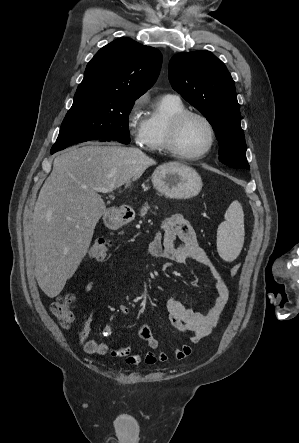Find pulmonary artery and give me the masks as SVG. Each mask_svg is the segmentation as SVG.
Here are the masks:
<instances>
[{"label":"pulmonary artery","instance_id":"e3ab8cb5","mask_svg":"<svg viewBox=\"0 0 299 443\" xmlns=\"http://www.w3.org/2000/svg\"><path fill=\"white\" fill-rule=\"evenodd\" d=\"M171 96H174V97H177V98H179V96H178V95H171Z\"/></svg>","mask_w":299,"mask_h":443}]
</instances>
